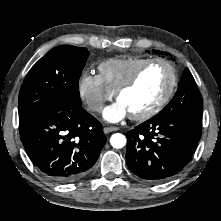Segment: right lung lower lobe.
Wrapping results in <instances>:
<instances>
[{
  "instance_id": "right-lung-lower-lobe-1",
  "label": "right lung lower lobe",
  "mask_w": 221,
  "mask_h": 221,
  "mask_svg": "<svg viewBox=\"0 0 221 221\" xmlns=\"http://www.w3.org/2000/svg\"><path fill=\"white\" fill-rule=\"evenodd\" d=\"M19 132L35 167L58 183L85 176L107 140L101 123L82 107L32 117L19 123Z\"/></svg>"
}]
</instances>
